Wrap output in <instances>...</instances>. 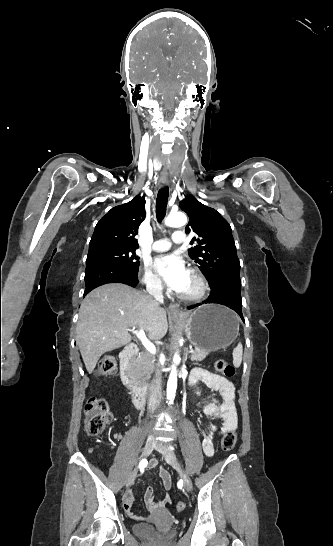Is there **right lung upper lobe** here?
Listing matches in <instances>:
<instances>
[{"label": "right lung upper lobe", "mask_w": 333, "mask_h": 546, "mask_svg": "<svg viewBox=\"0 0 333 546\" xmlns=\"http://www.w3.org/2000/svg\"><path fill=\"white\" fill-rule=\"evenodd\" d=\"M145 198L137 195L130 202L112 208L97 223L89 243V251L103 247L136 249L134 236L145 219Z\"/></svg>", "instance_id": "1"}]
</instances>
